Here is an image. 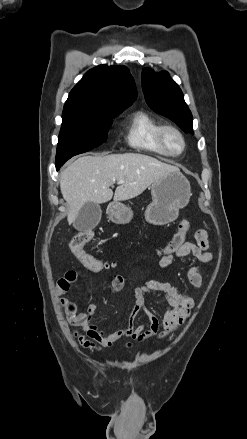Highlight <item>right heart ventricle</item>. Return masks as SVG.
Masks as SVG:
<instances>
[{
  "mask_svg": "<svg viewBox=\"0 0 247 439\" xmlns=\"http://www.w3.org/2000/svg\"><path fill=\"white\" fill-rule=\"evenodd\" d=\"M160 126V122L149 112L138 110L128 120L125 140L134 149L166 155L157 140Z\"/></svg>",
  "mask_w": 247,
  "mask_h": 439,
  "instance_id": "right-heart-ventricle-1",
  "label": "right heart ventricle"
}]
</instances>
